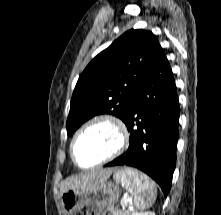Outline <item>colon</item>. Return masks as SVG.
<instances>
[{
  "label": "colon",
  "mask_w": 221,
  "mask_h": 215,
  "mask_svg": "<svg viewBox=\"0 0 221 215\" xmlns=\"http://www.w3.org/2000/svg\"><path fill=\"white\" fill-rule=\"evenodd\" d=\"M82 215H110V214L100 209L90 208L84 210Z\"/></svg>",
  "instance_id": "obj_1"
}]
</instances>
